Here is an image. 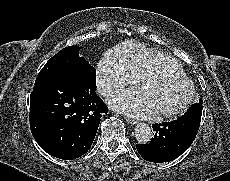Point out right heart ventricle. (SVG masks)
<instances>
[{"label": "right heart ventricle", "instance_id": "e07e8e85", "mask_svg": "<svg viewBox=\"0 0 230 181\" xmlns=\"http://www.w3.org/2000/svg\"><path fill=\"white\" fill-rule=\"evenodd\" d=\"M107 59L129 71L136 80L157 71L184 73L172 57L136 41H126L115 46L107 53Z\"/></svg>", "mask_w": 230, "mask_h": 181}]
</instances>
